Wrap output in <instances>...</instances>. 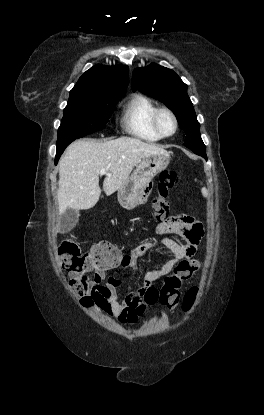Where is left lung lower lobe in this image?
<instances>
[{
	"label": "left lung lower lobe",
	"instance_id": "left-lung-lower-lobe-1",
	"mask_svg": "<svg viewBox=\"0 0 264 415\" xmlns=\"http://www.w3.org/2000/svg\"><path fill=\"white\" fill-rule=\"evenodd\" d=\"M195 154L202 156L204 159L207 160L205 148H199V149H191Z\"/></svg>",
	"mask_w": 264,
	"mask_h": 415
}]
</instances>
